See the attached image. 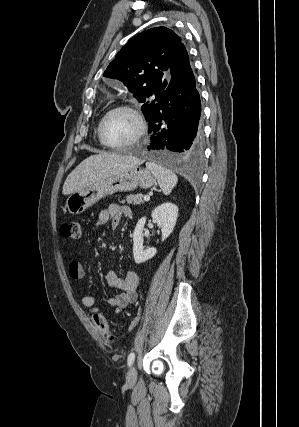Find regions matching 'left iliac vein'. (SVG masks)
<instances>
[{
	"label": "left iliac vein",
	"instance_id": "4c4485c4",
	"mask_svg": "<svg viewBox=\"0 0 299 427\" xmlns=\"http://www.w3.org/2000/svg\"><path fill=\"white\" fill-rule=\"evenodd\" d=\"M137 379V370L135 366H132L127 374V383L128 384H134Z\"/></svg>",
	"mask_w": 299,
	"mask_h": 427
}]
</instances>
